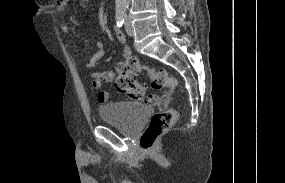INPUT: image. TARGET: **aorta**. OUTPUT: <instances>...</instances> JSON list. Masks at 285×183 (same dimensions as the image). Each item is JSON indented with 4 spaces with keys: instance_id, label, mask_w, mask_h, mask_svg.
<instances>
[{
    "instance_id": "762f6f07",
    "label": "aorta",
    "mask_w": 285,
    "mask_h": 183,
    "mask_svg": "<svg viewBox=\"0 0 285 183\" xmlns=\"http://www.w3.org/2000/svg\"><path fill=\"white\" fill-rule=\"evenodd\" d=\"M130 0H115V5L117 9H126L129 6Z\"/></svg>"
}]
</instances>
